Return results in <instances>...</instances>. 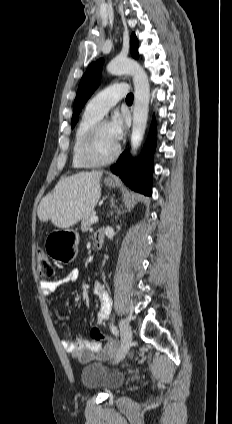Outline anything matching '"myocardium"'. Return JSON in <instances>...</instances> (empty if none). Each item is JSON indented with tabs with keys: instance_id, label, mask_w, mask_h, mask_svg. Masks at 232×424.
<instances>
[{
	"instance_id": "myocardium-1",
	"label": "myocardium",
	"mask_w": 232,
	"mask_h": 424,
	"mask_svg": "<svg viewBox=\"0 0 232 424\" xmlns=\"http://www.w3.org/2000/svg\"><path fill=\"white\" fill-rule=\"evenodd\" d=\"M106 123H108L107 120L100 118L91 126L82 141L80 156L82 160L91 167L107 165L113 162L120 153V145L117 144L115 151L106 158H99L95 154L96 141L99 131Z\"/></svg>"
}]
</instances>
